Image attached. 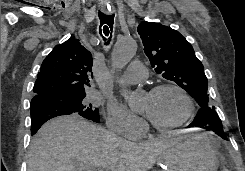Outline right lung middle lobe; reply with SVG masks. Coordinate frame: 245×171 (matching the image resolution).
<instances>
[{
	"label": "right lung middle lobe",
	"instance_id": "1",
	"mask_svg": "<svg viewBox=\"0 0 245 171\" xmlns=\"http://www.w3.org/2000/svg\"><path fill=\"white\" fill-rule=\"evenodd\" d=\"M86 94L69 96V95H56L51 99L61 102L69 107L75 113L83 116L84 118L99 122V111L97 108L92 107L91 104L85 102Z\"/></svg>",
	"mask_w": 245,
	"mask_h": 171
}]
</instances>
